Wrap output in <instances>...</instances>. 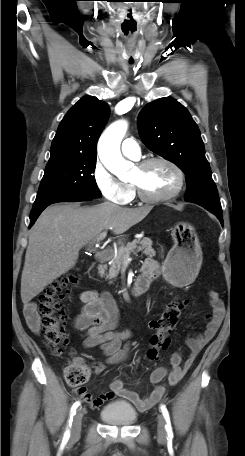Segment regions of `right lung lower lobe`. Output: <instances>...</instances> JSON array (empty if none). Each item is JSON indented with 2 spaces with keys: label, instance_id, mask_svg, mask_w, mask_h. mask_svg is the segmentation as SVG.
Returning <instances> with one entry per match:
<instances>
[{
  "label": "right lung lower lobe",
  "instance_id": "1",
  "mask_svg": "<svg viewBox=\"0 0 245 456\" xmlns=\"http://www.w3.org/2000/svg\"><path fill=\"white\" fill-rule=\"evenodd\" d=\"M84 200H92V198L91 197L71 198V199H67V200H63V201H59V202H76V201H84ZM49 205H51V204H47V205H43V206H39V207H33L32 211H31V214H30V226H29V228L35 223L36 219L41 214V212Z\"/></svg>",
  "mask_w": 245,
  "mask_h": 456
}]
</instances>
